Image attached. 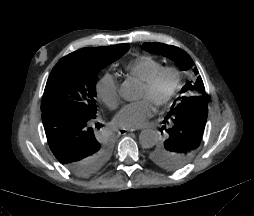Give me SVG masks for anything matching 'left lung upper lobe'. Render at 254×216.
Masks as SVG:
<instances>
[{
    "mask_svg": "<svg viewBox=\"0 0 254 216\" xmlns=\"http://www.w3.org/2000/svg\"><path fill=\"white\" fill-rule=\"evenodd\" d=\"M142 47L172 59L182 70L193 73L163 121L161 132H167V139L153 146L149 153L158 166L177 170L188 164L198 151L208 115V95L193 60L184 50L161 43H144Z\"/></svg>",
    "mask_w": 254,
    "mask_h": 216,
    "instance_id": "1",
    "label": "left lung upper lobe"
}]
</instances>
